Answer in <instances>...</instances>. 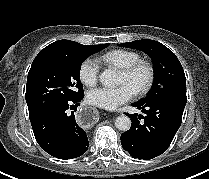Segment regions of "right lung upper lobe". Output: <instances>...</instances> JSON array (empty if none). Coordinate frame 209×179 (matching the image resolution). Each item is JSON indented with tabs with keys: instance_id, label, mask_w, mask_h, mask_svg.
Wrapping results in <instances>:
<instances>
[{
	"instance_id": "1",
	"label": "right lung upper lobe",
	"mask_w": 209,
	"mask_h": 179,
	"mask_svg": "<svg viewBox=\"0 0 209 179\" xmlns=\"http://www.w3.org/2000/svg\"><path fill=\"white\" fill-rule=\"evenodd\" d=\"M82 46L85 45L70 40H59L48 45L42 51L71 50Z\"/></svg>"
}]
</instances>
